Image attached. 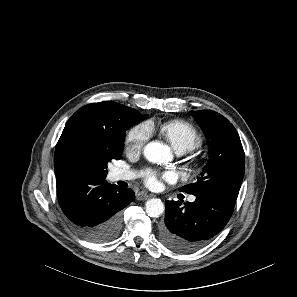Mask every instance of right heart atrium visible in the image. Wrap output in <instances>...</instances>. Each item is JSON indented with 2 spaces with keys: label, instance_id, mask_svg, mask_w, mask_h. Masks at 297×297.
Masks as SVG:
<instances>
[{
  "label": "right heart atrium",
  "instance_id": "1",
  "mask_svg": "<svg viewBox=\"0 0 297 297\" xmlns=\"http://www.w3.org/2000/svg\"><path fill=\"white\" fill-rule=\"evenodd\" d=\"M151 134L152 130L149 124L140 123L136 125L127 134V150L134 153L141 152L147 141L150 139Z\"/></svg>",
  "mask_w": 297,
  "mask_h": 297
}]
</instances>
